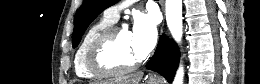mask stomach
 <instances>
[{
    "instance_id": "stomach-1",
    "label": "stomach",
    "mask_w": 260,
    "mask_h": 84,
    "mask_svg": "<svg viewBox=\"0 0 260 84\" xmlns=\"http://www.w3.org/2000/svg\"><path fill=\"white\" fill-rule=\"evenodd\" d=\"M148 84H156V83H154V82H152V81H148Z\"/></svg>"
}]
</instances>
